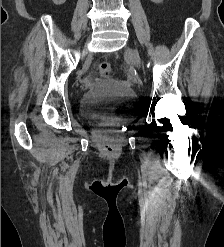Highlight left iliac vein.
<instances>
[{"label": "left iliac vein", "instance_id": "1", "mask_svg": "<svg viewBox=\"0 0 224 247\" xmlns=\"http://www.w3.org/2000/svg\"><path fill=\"white\" fill-rule=\"evenodd\" d=\"M126 55L132 60L133 64L137 67L140 68L141 66V61L140 57L137 51L127 48L125 51Z\"/></svg>", "mask_w": 224, "mask_h": 247}]
</instances>
